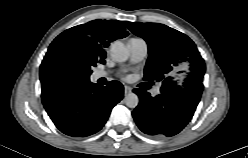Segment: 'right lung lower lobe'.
Masks as SVG:
<instances>
[{
	"mask_svg": "<svg viewBox=\"0 0 248 158\" xmlns=\"http://www.w3.org/2000/svg\"><path fill=\"white\" fill-rule=\"evenodd\" d=\"M123 86L111 81L107 87L86 82L42 94L43 105L56 127L66 135L85 137L98 132L111 109L123 98Z\"/></svg>",
	"mask_w": 248,
	"mask_h": 158,
	"instance_id": "obj_1",
	"label": "right lung lower lobe"
}]
</instances>
